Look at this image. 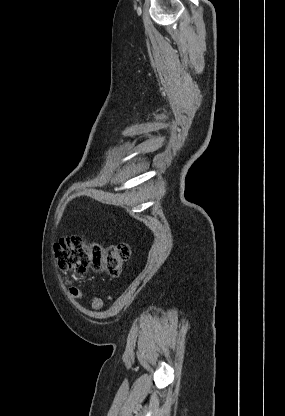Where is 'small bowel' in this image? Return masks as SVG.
Instances as JSON below:
<instances>
[{
  "label": "small bowel",
  "mask_w": 285,
  "mask_h": 416,
  "mask_svg": "<svg viewBox=\"0 0 285 416\" xmlns=\"http://www.w3.org/2000/svg\"><path fill=\"white\" fill-rule=\"evenodd\" d=\"M71 295L78 297L82 295V292L79 289H73L71 291ZM89 300L91 302V306L93 310L95 311L101 310L103 306V300L101 298L94 296V297L89 298Z\"/></svg>",
  "instance_id": "obj_1"
}]
</instances>
